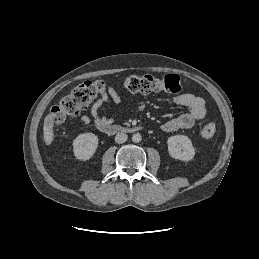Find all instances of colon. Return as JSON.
<instances>
[{
  "mask_svg": "<svg viewBox=\"0 0 259 259\" xmlns=\"http://www.w3.org/2000/svg\"><path fill=\"white\" fill-rule=\"evenodd\" d=\"M122 86L131 93L149 94L152 92L178 93L182 86L177 75L156 77L150 74L127 77ZM106 86L101 80L85 81L65 95L51 109V118L55 124H61L71 117L79 115L97 97L105 93ZM216 134L214 123H207L200 135L205 140L212 139Z\"/></svg>",
  "mask_w": 259,
  "mask_h": 259,
  "instance_id": "1",
  "label": "colon"
}]
</instances>
